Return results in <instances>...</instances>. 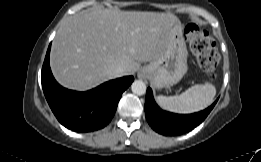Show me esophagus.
<instances>
[{"mask_svg":"<svg viewBox=\"0 0 261 162\" xmlns=\"http://www.w3.org/2000/svg\"><path fill=\"white\" fill-rule=\"evenodd\" d=\"M138 77H139L140 79H142V78H144V75H143L142 73H138Z\"/></svg>","mask_w":261,"mask_h":162,"instance_id":"obj_1","label":"esophagus"}]
</instances>
